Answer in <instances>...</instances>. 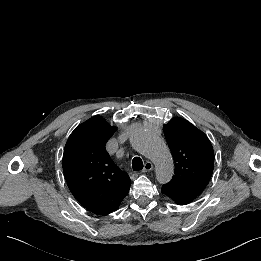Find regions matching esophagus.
<instances>
[{
  "label": "esophagus",
  "instance_id": "1",
  "mask_svg": "<svg viewBox=\"0 0 261 261\" xmlns=\"http://www.w3.org/2000/svg\"><path fill=\"white\" fill-rule=\"evenodd\" d=\"M153 169V164L150 161H147L144 165L142 172H149Z\"/></svg>",
  "mask_w": 261,
  "mask_h": 261
}]
</instances>
